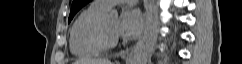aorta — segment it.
Instances as JSON below:
<instances>
[{
	"label": "aorta",
	"mask_w": 242,
	"mask_h": 64,
	"mask_svg": "<svg viewBox=\"0 0 242 64\" xmlns=\"http://www.w3.org/2000/svg\"><path fill=\"white\" fill-rule=\"evenodd\" d=\"M110 16L113 18V19H117L118 18V12L116 10H112L110 12Z\"/></svg>",
	"instance_id": "1"
}]
</instances>
